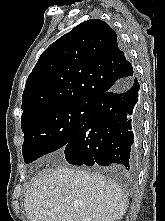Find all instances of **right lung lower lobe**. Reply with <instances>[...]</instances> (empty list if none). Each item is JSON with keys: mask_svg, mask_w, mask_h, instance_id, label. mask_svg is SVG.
<instances>
[{"mask_svg": "<svg viewBox=\"0 0 165 221\" xmlns=\"http://www.w3.org/2000/svg\"><path fill=\"white\" fill-rule=\"evenodd\" d=\"M139 89L133 78L92 100L88 120L64 147L70 164L135 170L142 129Z\"/></svg>", "mask_w": 165, "mask_h": 221, "instance_id": "98d812e1", "label": "right lung lower lobe"}]
</instances>
